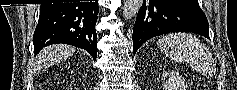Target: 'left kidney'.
<instances>
[{
  "label": "left kidney",
  "mask_w": 237,
  "mask_h": 90,
  "mask_svg": "<svg viewBox=\"0 0 237 90\" xmlns=\"http://www.w3.org/2000/svg\"><path fill=\"white\" fill-rule=\"evenodd\" d=\"M163 90H187V84L178 72H164L162 74Z\"/></svg>",
  "instance_id": "5707ae66"
}]
</instances>
